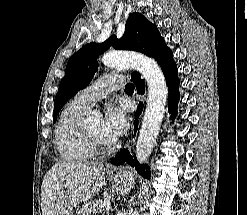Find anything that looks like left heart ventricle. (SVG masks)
Here are the masks:
<instances>
[{
    "label": "left heart ventricle",
    "instance_id": "obj_1",
    "mask_svg": "<svg viewBox=\"0 0 247 215\" xmlns=\"http://www.w3.org/2000/svg\"><path fill=\"white\" fill-rule=\"evenodd\" d=\"M86 129L96 137L106 141L105 138L103 137L101 121L92 122L91 124L86 126Z\"/></svg>",
    "mask_w": 247,
    "mask_h": 215
}]
</instances>
